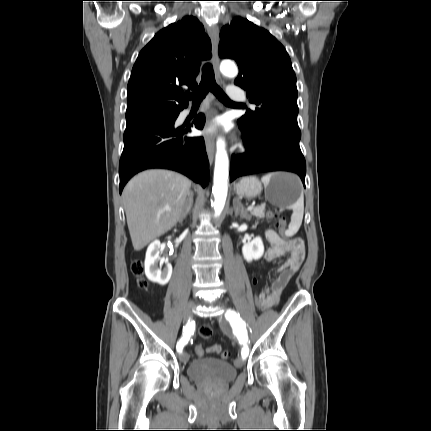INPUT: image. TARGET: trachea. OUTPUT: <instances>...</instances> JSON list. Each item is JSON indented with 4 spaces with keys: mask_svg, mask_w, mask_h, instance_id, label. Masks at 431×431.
I'll return each mask as SVG.
<instances>
[{
    "mask_svg": "<svg viewBox=\"0 0 431 431\" xmlns=\"http://www.w3.org/2000/svg\"><path fill=\"white\" fill-rule=\"evenodd\" d=\"M209 91L223 103L241 106V104L232 102L224 91L217 85L213 66L210 63H206L202 68V77L198 88L195 92L187 93L185 96L193 101L192 104L196 105L202 102Z\"/></svg>",
    "mask_w": 431,
    "mask_h": 431,
    "instance_id": "trachea-1",
    "label": "trachea"
}]
</instances>
